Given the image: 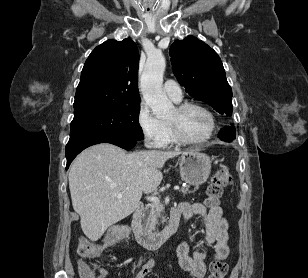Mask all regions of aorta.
<instances>
[{
	"label": "aorta",
	"mask_w": 308,
	"mask_h": 278,
	"mask_svg": "<svg viewBox=\"0 0 308 278\" xmlns=\"http://www.w3.org/2000/svg\"><path fill=\"white\" fill-rule=\"evenodd\" d=\"M166 61L161 53L148 57L141 77V88L145 102L154 115L163 118L173 109L172 102L162 90Z\"/></svg>",
	"instance_id": "aorta-1"
}]
</instances>
